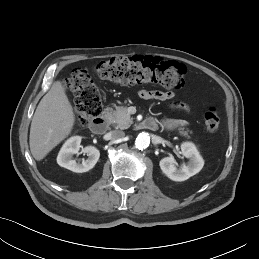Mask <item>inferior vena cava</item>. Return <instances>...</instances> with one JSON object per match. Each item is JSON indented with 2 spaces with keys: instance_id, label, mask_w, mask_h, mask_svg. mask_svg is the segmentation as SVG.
Masks as SVG:
<instances>
[{
  "instance_id": "inferior-vena-cava-1",
  "label": "inferior vena cava",
  "mask_w": 259,
  "mask_h": 259,
  "mask_svg": "<svg viewBox=\"0 0 259 259\" xmlns=\"http://www.w3.org/2000/svg\"><path fill=\"white\" fill-rule=\"evenodd\" d=\"M109 134L113 140H119L125 136V133L122 130H113Z\"/></svg>"
}]
</instances>
